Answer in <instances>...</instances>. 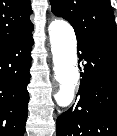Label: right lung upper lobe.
<instances>
[{
    "instance_id": "cb5924a9",
    "label": "right lung upper lobe",
    "mask_w": 117,
    "mask_h": 136,
    "mask_svg": "<svg viewBox=\"0 0 117 136\" xmlns=\"http://www.w3.org/2000/svg\"><path fill=\"white\" fill-rule=\"evenodd\" d=\"M30 0H0V45L33 30Z\"/></svg>"
}]
</instances>
